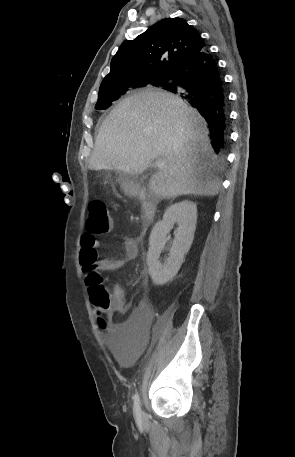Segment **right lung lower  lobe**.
<instances>
[{
	"mask_svg": "<svg viewBox=\"0 0 295 457\" xmlns=\"http://www.w3.org/2000/svg\"><path fill=\"white\" fill-rule=\"evenodd\" d=\"M165 89L188 100L207 121L212 146L217 154L226 148L228 120L224 81L212 55L203 49L176 70Z\"/></svg>",
	"mask_w": 295,
	"mask_h": 457,
	"instance_id": "98d812e1",
	"label": "right lung lower lobe"
}]
</instances>
